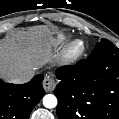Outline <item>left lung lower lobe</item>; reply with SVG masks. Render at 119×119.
Listing matches in <instances>:
<instances>
[{
    "label": "left lung lower lobe",
    "instance_id": "left-lung-lower-lobe-1",
    "mask_svg": "<svg viewBox=\"0 0 119 119\" xmlns=\"http://www.w3.org/2000/svg\"><path fill=\"white\" fill-rule=\"evenodd\" d=\"M59 119H119V49L97 43L87 59L56 70Z\"/></svg>",
    "mask_w": 119,
    "mask_h": 119
}]
</instances>
